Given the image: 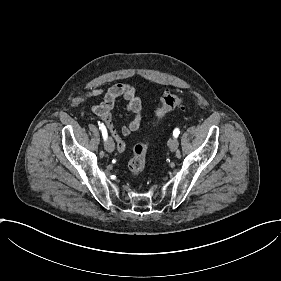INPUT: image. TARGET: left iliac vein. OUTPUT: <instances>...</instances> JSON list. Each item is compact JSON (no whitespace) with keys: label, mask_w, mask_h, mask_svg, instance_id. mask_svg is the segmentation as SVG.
Listing matches in <instances>:
<instances>
[{"label":"left iliac vein","mask_w":281,"mask_h":281,"mask_svg":"<svg viewBox=\"0 0 281 281\" xmlns=\"http://www.w3.org/2000/svg\"><path fill=\"white\" fill-rule=\"evenodd\" d=\"M168 147L172 150L175 151L178 147H179V141L177 138H172L169 142H168Z\"/></svg>","instance_id":"obj_1"}]
</instances>
